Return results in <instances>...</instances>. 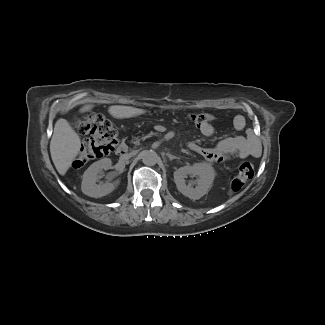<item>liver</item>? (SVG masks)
<instances>
[{"label": "liver", "instance_id": "6515ba94", "mask_svg": "<svg viewBox=\"0 0 325 325\" xmlns=\"http://www.w3.org/2000/svg\"><path fill=\"white\" fill-rule=\"evenodd\" d=\"M93 105L87 104L80 108V112H87ZM108 112L117 119L130 118L144 114V109L131 106L114 105L110 106ZM81 148V139L76 131L65 119H59L54 127L50 142V153L52 161L60 175H65L73 160Z\"/></svg>", "mask_w": 325, "mask_h": 325}]
</instances>
